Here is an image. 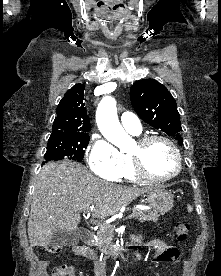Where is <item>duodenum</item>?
Here are the masks:
<instances>
[{
	"label": "duodenum",
	"instance_id": "410a0bca",
	"mask_svg": "<svg viewBox=\"0 0 221 276\" xmlns=\"http://www.w3.org/2000/svg\"><path fill=\"white\" fill-rule=\"evenodd\" d=\"M78 234H79L80 240L84 244H88L92 240V234L88 229L82 228V229L79 230Z\"/></svg>",
	"mask_w": 221,
	"mask_h": 276
}]
</instances>
